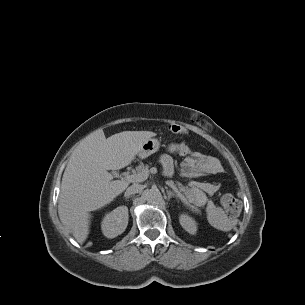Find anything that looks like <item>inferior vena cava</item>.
I'll return each mask as SVG.
<instances>
[{
  "mask_svg": "<svg viewBox=\"0 0 305 305\" xmlns=\"http://www.w3.org/2000/svg\"><path fill=\"white\" fill-rule=\"evenodd\" d=\"M143 190V185L140 184H133L130 187L127 188L125 192V196H130L136 193H139Z\"/></svg>",
  "mask_w": 305,
  "mask_h": 305,
  "instance_id": "obj_1",
  "label": "inferior vena cava"
}]
</instances>
